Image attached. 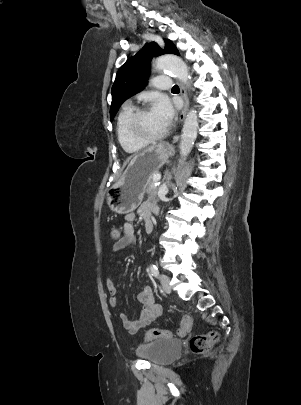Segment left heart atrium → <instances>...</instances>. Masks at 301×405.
<instances>
[{
    "instance_id": "left-heart-atrium-1",
    "label": "left heart atrium",
    "mask_w": 301,
    "mask_h": 405,
    "mask_svg": "<svg viewBox=\"0 0 301 405\" xmlns=\"http://www.w3.org/2000/svg\"><path fill=\"white\" fill-rule=\"evenodd\" d=\"M152 111L156 113L168 125L175 116V110L165 96H158L153 103Z\"/></svg>"
}]
</instances>
